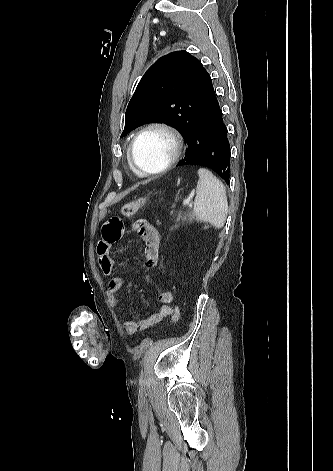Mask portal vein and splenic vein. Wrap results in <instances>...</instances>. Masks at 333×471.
I'll return each instance as SVG.
<instances>
[{"instance_id": "18ae733b", "label": "portal vein and splenic vein", "mask_w": 333, "mask_h": 471, "mask_svg": "<svg viewBox=\"0 0 333 471\" xmlns=\"http://www.w3.org/2000/svg\"><path fill=\"white\" fill-rule=\"evenodd\" d=\"M192 197H193V195L191 194L188 198L184 199L183 200V205L192 207V201H191Z\"/></svg>"}]
</instances>
